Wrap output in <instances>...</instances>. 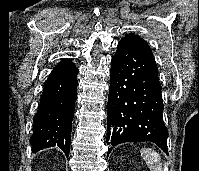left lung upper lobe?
<instances>
[{"mask_svg": "<svg viewBox=\"0 0 199 171\" xmlns=\"http://www.w3.org/2000/svg\"><path fill=\"white\" fill-rule=\"evenodd\" d=\"M121 40H125V41L132 43L133 45L140 48L143 52H145L148 56H150L151 58L154 59L153 53H152L149 45L147 44V42L144 39L140 38L139 36H137L135 34H128L125 37H123Z\"/></svg>", "mask_w": 199, "mask_h": 171, "instance_id": "1", "label": "left lung upper lobe"}]
</instances>
